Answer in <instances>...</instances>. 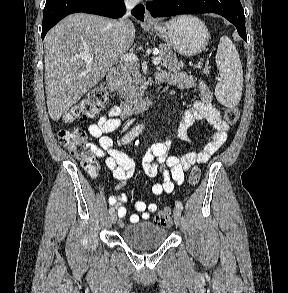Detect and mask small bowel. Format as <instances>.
Listing matches in <instances>:
<instances>
[{
	"label": "small bowel",
	"instance_id": "1",
	"mask_svg": "<svg viewBox=\"0 0 288 293\" xmlns=\"http://www.w3.org/2000/svg\"><path fill=\"white\" fill-rule=\"evenodd\" d=\"M164 82L177 86L180 89L190 90L197 88L199 99L195 100L190 108L182 110L179 114V127L175 139L191 142L188 135L190 127L196 122H207L215 129L211 140L205 145L202 151H190L184 155H173L170 153L174 139H167L162 142L153 143L141 157L142 166L148 177L160 176L163 181L155 183L151 192L155 196L170 194L175 185L184 181L185 172L194 164L206 163L210 157L225 143L230 126L226 123L220 112L213 105V94L207 84L200 78L191 77L185 72L168 73L161 71L157 74ZM121 107L111 104L105 114L100 115L95 123L88 127L91 137L98 141L97 145H91L93 153L98 158H104L107 168L112 172V177L120 187L134 173L135 162L126 153L113 148V141L108 133L116 130L121 120L125 118ZM127 201L125 194L114 195L109 198L110 205L117 210L119 219H124L127 209L124 203ZM135 210L140 213L131 214L130 223H137L140 219H149L151 213L157 210L154 202L146 203L137 201Z\"/></svg>",
	"mask_w": 288,
	"mask_h": 293
}]
</instances>
